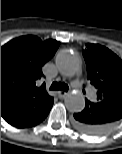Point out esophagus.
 I'll list each match as a JSON object with an SVG mask.
<instances>
[{"instance_id": "obj_1", "label": "esophagus", "mask_w": 122, "mask_h": 154, "mask_svg": "<svg viewBox=\"0 0 122 154\" xmlns=\"http://www.w3.org/2000/svg\"><path fill=\"white\" fill-rule=\"evenodd\" d=\"M67 94H68L67 92L59 91V92H58V97H59V98H64Z\"/></svg>"}]
</instances>
